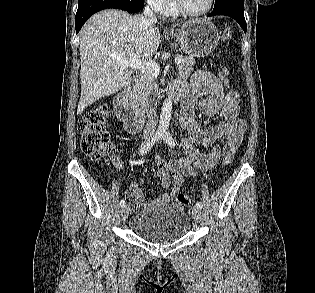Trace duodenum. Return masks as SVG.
<instances>
[{
    "label": "duodenum",
    "instance_id": "obj_1",
    "mask_svg": "<svg viewBox=\"0 0 315 293\" xmlns=\"http://www.w3.org/2000/svg\"><path fill=\"white\" fill-rule=\"evenodd\" d=\"M133 92L134 83L128 84L114 99V108L118 119L123 122L124 128L132 133L139 131L144 124V116L131 102ZM179 96V93L172 91L170 99L176 103Z\"/></svg>",
    "mask_w": 315,
    "mask_h": 293
}]
</instances>
